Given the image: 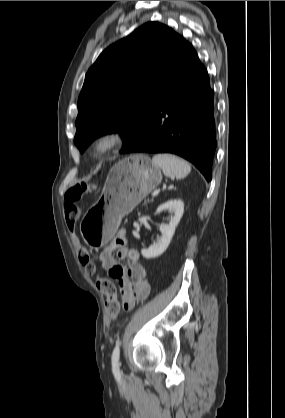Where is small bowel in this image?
Instances as JSON below:
<instances>
[{
    "label": "small bowel",
    "instance_id": "small-bowel-1",
    "mask_svg": "<svg viewBox=\"0 0 285 418\" xmlns=\"http://www.w3.org/2000/svg\"><path fill=\"white\" fill-rule=\"evenodd\" d=\"M124 242L125 233L120 231L110 246L98 256L102 268L116 280L117 289L122 296V304L146 299L151 291L150 283L147 280V271L139 262V252L135 249L125 248ZM117 243H119L118 246ZM114 251L117 252V257L120 260L128 259L130 265H120L113 255Z\"/></svg>",
    "mask_w": 285,
    "mask_h": 418
}]
</instances>
